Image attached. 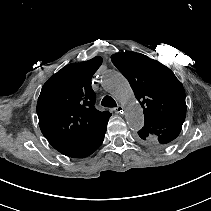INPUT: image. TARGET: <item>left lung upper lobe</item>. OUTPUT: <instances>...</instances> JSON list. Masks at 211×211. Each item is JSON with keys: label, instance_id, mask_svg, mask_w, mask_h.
I'll return each instance as SVG.
<instances>
[{"label": "left lung upper lobe", "instance_id": "1", "mask_svg": "<svg viewBox=\"0 0 211 211\" xmlns=\"http://www.w3.org/2000/svg\"><path fill=\"white\" fill-rule=\"evenodd\" d=\"M111 59L143 108L145 122L138 131L142 142L153 149L172 142L186 117L185 91L180 81L169 68L140 53H116Z\"/></svg>", "mask_w": 211, "mask_h": 211}]
</instances>
